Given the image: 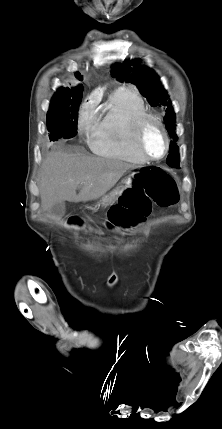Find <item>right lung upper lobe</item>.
<instances>
[{
	"label": "right lung upper lobe",
	"instance_id": "cb5924a9",
	"mask_svg": "<svg viewBox=\"0 0 222 429\" xmlns=\"http://www.w3.org/2000/svg\"><path fill=\"white\" fill-rule=\"evenodd\" d=\"M75 77L78 79V80H82V77H81V75L79 74V73H77L76 75H75ZM80 86H82V85H80ZM71 89L72 88H69V87H60V88H58V90H57V92L55 93V94H63V93H67V92H69V91H71Z\"/></svg>",
	"mask_w": 222,
	"mask_h": 429
}]
</instances>
